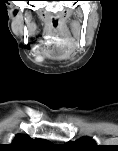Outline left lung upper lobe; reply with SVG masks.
I'll return each mask as SVG.
<instances>
[{
  "label": "left lung upper lobe",
  "instance_id": "5c2ea615",
  "mask_svg": "<svg viewBox=\"0 0 118 151\" xmlns=\"http://www.w3.org/2000/svg\"><path fill=\"white\" fill-rule=\"evenodd\" d=\"M67 145L84 150L96 147L94 140L87 137H83L75 142H70Z\"/></svg>",
  "mask_w": 118,
  "mask_h": 151
}]
</instances>
